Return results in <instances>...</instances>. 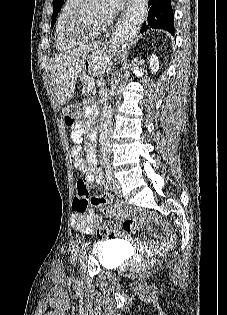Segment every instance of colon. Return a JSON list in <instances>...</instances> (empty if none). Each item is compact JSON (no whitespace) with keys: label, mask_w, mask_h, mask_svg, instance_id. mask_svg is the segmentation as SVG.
I'll return each instance as SVG.
<instances>
[{"label":"colon","mask_w":227,"mask_h":315,"mask_svg":"<svg viewBox=\"0 0 227 315\" xmlns=\"http://www.w3.org/2000/svg\"><path fill=\"white\" fill-rule=\"evenodd\" d=\"M79 110L74 105H69L64 108V120L67 126H74L77 123ZM89 207H98L106 213V199L101 196H91L87 183L80 179L76 183V194L72 204L74 213L83 214ZM146 221V219H117L105 223L102 221V226L97 229V235L101 238H109L114 236L123 229L126 232H134L138 230ZM153 265V258L150 256L140 257L135 264L136 272H143Z\"/></svg>","instance_id":"1"}]
</instances>
